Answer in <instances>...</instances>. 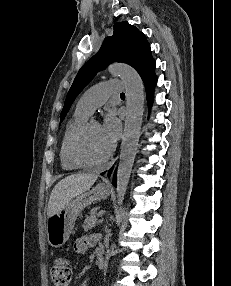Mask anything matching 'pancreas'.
<instances>
[{
    "instance_id": "obj_1",
    "label": "pancreas",
    "mask_w": 231,
    "mask_h": 286,
    "mask_svg": "<svg viewBox=\"0 0 231 286\" xmlns=\"http://www.w3.org/2000/svg\"><path fill=\"white\" fill-rule=\"evenodd\" d=\"M101 223V220L96 219V213L91 212L89 216L86 217L83 225L84 231L94 228L96 225Z\"/></svg>"
}]
</instances>
